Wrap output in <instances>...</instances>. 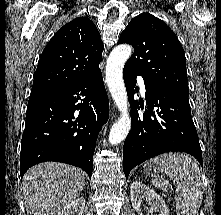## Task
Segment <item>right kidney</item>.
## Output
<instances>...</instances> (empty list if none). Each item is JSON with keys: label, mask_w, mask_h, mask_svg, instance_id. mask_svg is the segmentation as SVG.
<instances>
[{"label": "right kidney", "mask_w": 221, "mask_h": 215, "mask_svg": "<svg viewBox=\"0 0 221 215\" xmlns=\"http://www.w3.org/2000/svg\"><path fill=\"white\" fill-rule=\"evenodd\" d=\"M85 208V199L78 198L63 208L57 215H82Z\"/></svg>", "instance_id": "1"}]
</instances>
